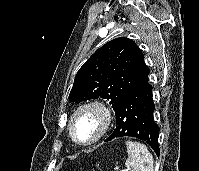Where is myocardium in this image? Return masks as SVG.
I'll return each mask as SVG.
<instances>
[{"label": "myocardium", "mask_w": 199, "mask_h": 171, "mask_svg": "<svg viewBox=\"0 0 199 171\" xmlns=\"http://www.w3.org/2000/svg\"><path fill=\"white\" fill-rule=\"evenodd\" d=\"M84 111L94 112L100 120V127L97 134L87 142H82L78 140L74 134V129H73V123L75 119L80 113ZM111 124H112V112L110 108L99 100H90L81 103L73 110L68 120V132L71 139L76 144L81 146H90L98 142L107 133Z\"/></svg>", "instance_id": "obj_1"}]
</instances>
